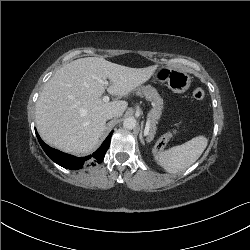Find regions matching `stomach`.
<instances>
[{
	"instance_id": "obj_1",
	"label": "stomach",
	"mask_w": 250,
	"mask_h": 250,
	"mask_svg": "<svg viewBox=\"0 0 250 250\" xmlns=\"http://www.w3.org/2000/svg\"><path fill=\"white\" fill-rule=\"evenodd\" d=\"M156 77L161 81H166L170 90L174 93H184L191 84V77L183 70L159 67Z\"/></svg>"
}]
</instances>
